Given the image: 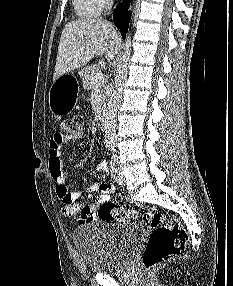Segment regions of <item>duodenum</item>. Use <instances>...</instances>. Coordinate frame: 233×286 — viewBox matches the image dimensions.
Wrapping results in <instances>:
<instances>
[{
    "instance_id": "1",
    "label": "duodenum",
    "mask_w": 233,
    "mask_h": 286,
    "mask_svg": "<svg viewBox=\"0 0 233 286\" xmlns=\"http://www.w3.org/2000/svg\"><path fill=\"white\" fill-rule=\"evenodd\" d=\"M98 127L102 131L106 128V117L103 110L98 113Z\"/></svg>"
}]
</instances>
